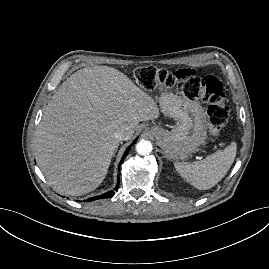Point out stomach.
Instances as JSON below:
<instances>
[{"label": "stomach", "instance_id": "obj_1", "mask_svg": "<svg viewBox=\"0 0 269 269\" xmlns=\"http://www.w3.org/2000/svg\"><path fill=\"white\" fill-rule=\"evenodd\" d=\"M165 116L176 120L171 131L159 126L150 131L167 159H187L207 139L206 114L200 103L188 98L163 93L159 100Z\"/></svg>", "mask_w": 269, "mask_h": 269}]
</instances>
